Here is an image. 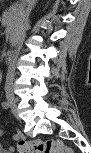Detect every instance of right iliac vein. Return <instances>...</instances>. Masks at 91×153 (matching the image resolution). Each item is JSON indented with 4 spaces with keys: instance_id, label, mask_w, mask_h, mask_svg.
I'll list each match as a JSON object with an SVG mask.
<instances>
[{
    "instance_id": "obj_1",
    "label": "right iliac vein",
    "mask_w": 91,
    "mask_h": 153,
    "mask_svg": "<svg viewBox=\"0 0 91 153\" xmlns=\"http://www.w3.org/2000/svg\"><path fill=\"white\" fill-rule=\"evenodd\" d=\"M7 102L9 106L13 109V111L17 110V100L14 95L10 92L7 93Z\"/></svg>"
}]
</instances>
